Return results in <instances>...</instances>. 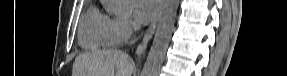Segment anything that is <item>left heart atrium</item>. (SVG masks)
Returning a JSON list of instances; mask_svg holds the SVG:
<instances>
[{"label":"left heart atrium","instance_id":"1","mask_svg":"<svg viewBox=\"0 0 287 76\" xmlns=\"http://www.w3.org/2000/svg\"><path fill=\"white\" fill-rule=\"evenodd\" d=\"M130 4L133 15L139 23H147L156 16L158 7L154 0H132Z\"/></svg>","mask_w":287,"mask_h":76}]
</instances>
